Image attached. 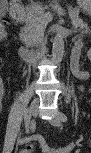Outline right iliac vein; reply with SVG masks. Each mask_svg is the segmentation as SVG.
<instances>
[{
    "label": "right iliac vein",
    "instance_id": "obj_1",
    "mask_svg": "<svg viewBox=\"0 0 91 153\" xmlns=\"http://www.w3.org/2000/svg\"><path fill=\"white\" fill-rule=\"evenodd\" d=\"M38 104H39V100L38 98H35L31 105L27 108L26 112H25V118H27L28 121H30L31 116H33L38 108Z\"/></svg>",
    "mask_w": 91,
    "mask_h": 153
}]
</instances>
